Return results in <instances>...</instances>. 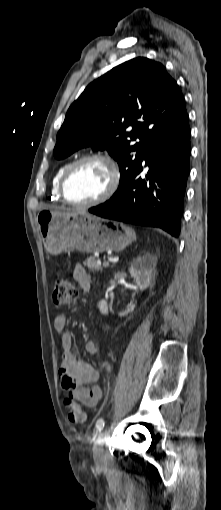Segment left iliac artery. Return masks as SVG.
Returning <instances> with one entry per match:
<instances>
[{"mask_svg":"<svg viewBox=\"0 0 221 510\" xmlns=\"http://www.w3.org/2000/svg\"><path fill=\"white\" fill-rule=\"evenodd\" d=\"M105 422L103 418H100L96 422V428L100 432L104 428Z\"/></svg>","mask_w":221,"mask_h":510,"instance_id":"left-iliac-artery-1","label":"left iliac artery"}]
</instances>
